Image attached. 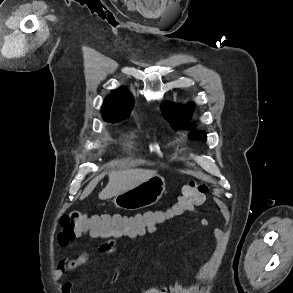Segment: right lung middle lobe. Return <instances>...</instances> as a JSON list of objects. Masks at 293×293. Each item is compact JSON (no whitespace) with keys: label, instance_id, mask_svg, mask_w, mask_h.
<instances>
[{"label":"right lung middle lobe","instance_id":"dd1d6c3e","mask_svg":"<svg viewBox=\"0 0 293 293\" xmlns=\"http://www.w3.org/2000/svg\"><path fill=\"white\" fill-rule=\"evenodd\" d=\"M128 117L129 116L113 117V118H108V119H105V120L107 122H118V121H121L122 119H126Z\"/></svg>","mask_w":293,"mask_h":293}]
</instances>
